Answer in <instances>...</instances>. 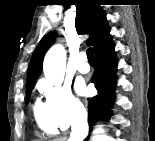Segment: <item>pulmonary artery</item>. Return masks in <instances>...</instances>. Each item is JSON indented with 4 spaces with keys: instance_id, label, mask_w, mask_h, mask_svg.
<instances>
[{
    "instance_id": "pulmonary-artery-1",
    "label": "pulmonary artery",
    "mask_w": 155,
    "mask_h": 141,
    "mask_svg": "<svg viewBox=\"0 0 155 141\" xmlns=\"http://www.w3.org/2000/svg\"><path fill=\"white\" fill-rule=\"evenodd\" d=\"M87 60V56L85 53H81L79 55V62L77 64V70L80 72V73H88L89 70H90V67L89 65L87 64L86 62Z\"/></svg>"
}]
</instances>
